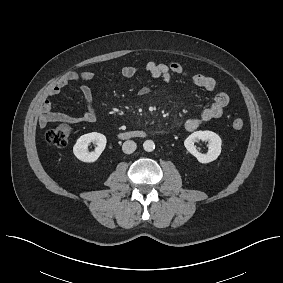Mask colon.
Wrapping results in <instances>:
<instances>
[{
    "label": "colon",
    "mask_w": 283,
    "mask_h": 283,
    "mask_svg": "<svg viewBox=\"0 0 283 283\" xmlns=\"http://www.w3.org/2000/svg\"><path fill=\"white\" fill-rule=\"evenodd\" d=\"M244 120L236 117L232 120V128L234 130H241L244 127ZM71 136V127L67 123H62L46 133V140L49 144L56 147H65Z\"/></svg>",
    "instance_id": "colon-1"
}]
</instances>
